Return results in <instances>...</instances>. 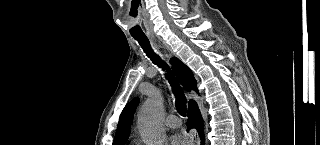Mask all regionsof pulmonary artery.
<instances>
[{"label": "pulmonary artery", "instance_id": "1", "mask_svg": "<svg viewBox=\"0 0 320 145\" xmlns=\"http://www.w3.org/2000/svg\"><path fill=\"white\" fill-rule=\"evenodd\" d=\"M166 126L169 127V128H178L181 126V120L178 116L176 115H169L167 118H166Z\"/></svg>", "mask_w": 320, "mask_h": 145}]
</instances>
